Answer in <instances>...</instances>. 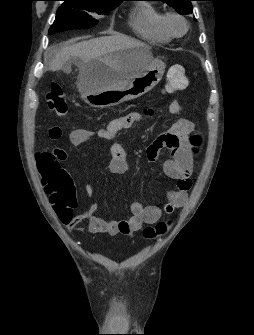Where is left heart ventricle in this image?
I'll use <instances>...</instances> for the list:
<instances>
[{"label":"left heart ventricle","instance_id":"1","mask_svg":"<svg viewBox=\"0 0 254 335\" xmlns=\"http://www.w3.org/2000/svg\"><path fill=\"white\" fill-rule=\"evenodd\" d=\"M171 28L176 33H181L184 30V25L179 20H172L171 21Z\"/></svg>","mask_w":254,"mask_h":335}]
</instances>
